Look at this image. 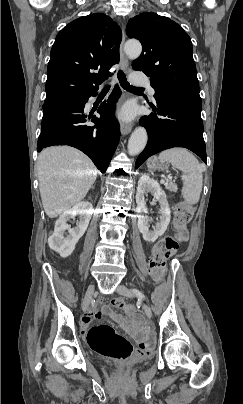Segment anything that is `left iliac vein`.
Here are the masks:
<instances>
[{
	"label": "left iliac vein",
	"instance_id": "1",
	"mask_svg": "<svg viewBox=\"0 0 243 404\" xmlns=\"http://www.w3.org/2000/svg\"><path fill=\"white\" fill-rule=\"evenodd\" d=\"M116 292L118 294H120V295H124V296H127V297H133L134 296V293L130 289H128L126 286H124L122 284L118 285V287L116 289ZM141 304H142V308H143V311H144L145 315L150 319L152 317V311H151L150 307L146 303H144L142 301H141Z\"/></svg>",
	"mask_w": 243,
	"mask_h": 404
}]
</instances>
